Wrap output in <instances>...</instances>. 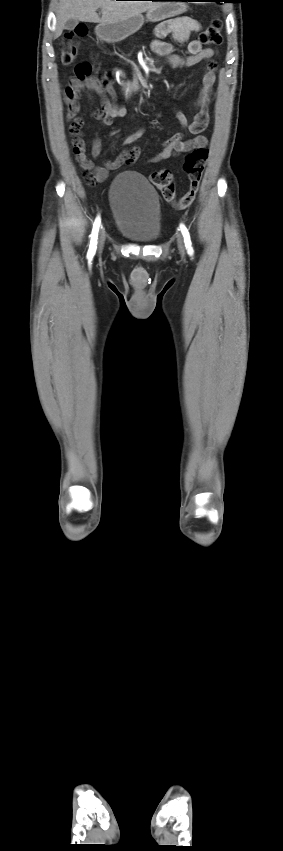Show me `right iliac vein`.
Returning a JSON list of instances; mask_svg holds the SVG:
<instances>
[{
	"label": "right iliac vein",
	"instance_id": "63e3f726",
	"mask_svg": "<svg viewBox=\"0 0 283 851\" xmlns=\"http://www.w3.org/2000/svg\"><path fill=\"white\" fill-rule=\"evenodd\" d=\"M104 242H105V233H104V231L102 230V231L100 232V236H99V240H98V248H99V250H101V249L103 248V246H104Z\"/></svg>",
	"mask_w": 283,
	"mask_h": 851
}]
</instances>
